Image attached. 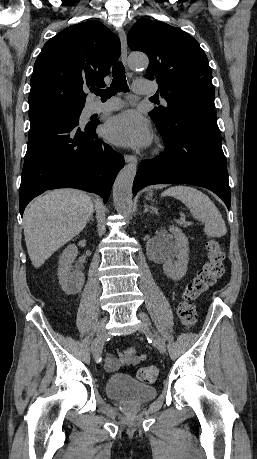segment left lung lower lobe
<instances>
[{
  "instance_id": "1",
  "label": "left lung lower lobe",
  "mask_w": 257,
  "mask_h": 459,
  "mask_svg": "<svg viewBox=\"0 0 257 459\" xmlns=\"http://www.w3.org/2000/svg\"><path fill=\"white\" fill-rule=\"evenodd\" d=\"M156 125L164 138L165 151L141 162L133 193L152 184L186 183L213 191L229 209L226 158L214 108H186Z\"/></svg>"
}]
</instances>
